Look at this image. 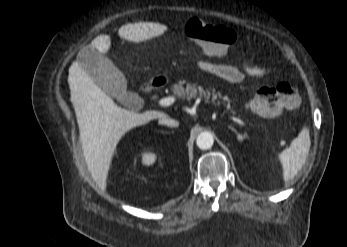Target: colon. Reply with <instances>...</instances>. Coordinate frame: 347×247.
<instances>
[{"instance_id":"colon-1","label":"colon","mask_w":347,"mask_h":247,"mask_svg":"<svg viewBox=\"0 0 347 247\" xmlns=\"http://www.w3.org/2000/svg\"><path fill=\"white\" fill-rule=\"evenodd\" d=\"M186 34L206 54L216 58L225 56L229 46L236 40V33L231 28L197 18L188 21ZM299 103L297 89L287 82H282L273 87L260 88L250 107L259 115L277 116L296 109Z\"/></svg>"}]
</instances>
